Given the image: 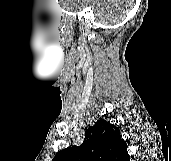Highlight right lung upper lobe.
<instances>
[{"label": "right lung upper lobe", "instance_id": "1", "mask_svg": "<svg viewBox=\"0 0 171 161\" xmlns=\"http://www.w3.org/2000/svg\"><path fill=\"white\" fill-rule=\"evenodd\" d=\"M52 161H130V156L120 130L99 119L86 131L80 146L58 152Z\"/></svg>", "mask_w": 171, "mask_h": 161}]
</instances>
